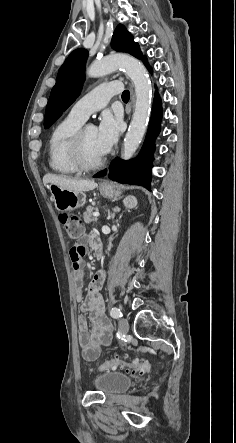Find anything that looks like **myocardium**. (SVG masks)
Segmentation results:
<instances>
[{"instance_id": "1", "label": "myocardium", "mask_w": 236, "mask_h": 443, "mask_svg": "<svg viewBox=\"0 0 236 443\" xmlns=\"http://www.w3.org/2000/svg\"><path fill=\"white\" fill-rule=\"evenodd\" d=\"M89 125H81L74 133L69 144V156L73 165L82 172H90L100 168L105 160V155L98 157L93 162L85 159L83 152V136Z\"/></svg>"}]
</instances>
